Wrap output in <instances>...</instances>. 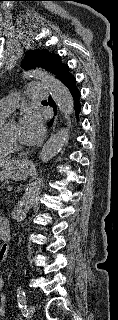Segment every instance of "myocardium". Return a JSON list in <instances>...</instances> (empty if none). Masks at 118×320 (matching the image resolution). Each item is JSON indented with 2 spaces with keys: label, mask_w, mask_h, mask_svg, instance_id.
I'll list each match as a JSON object with an SVG mask.
<instances>
[{
  "label": "myocardium",
  "mask_w": 118,
  "mask_h": 320,
  "mask_svg": "<svg viewBox=\"0 0 118 320\" xmlns=\"http://www.w3.org/2000/svg\"><path fill=\"white\" fill-rule=\"evenodd\" d=\"M5 127H6V124L2 125L0 127V139L1 141L8 147L10 148L12 151H23L25 150V147L22 146V145H18L16 144L15 142H13L12 140H10L6 134H5Z\"/></svg>",
  "instance_id": "1"
}]
</instances>
